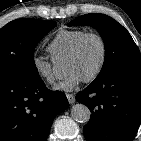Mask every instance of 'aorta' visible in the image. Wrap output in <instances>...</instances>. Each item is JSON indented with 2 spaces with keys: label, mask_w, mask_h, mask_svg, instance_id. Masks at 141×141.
Instances as JSON below:
<instances>
[{
  "label": "aorta",
  "mask_w": 141,
  "mask_h": 141,
  "mask_svg": "<svg viewBox=\"0 0 141 141\" xmlns=\"http://www.w3.org/2000/svg\"><path fill=\"white\" fill-rule=\"evenodd\" d=\"M71 116L77 122L87 123L90 120L91 112L86 105L78 103L72 106Z\"/></svg>",
  "instance_id": "1"
}]
</instances>
